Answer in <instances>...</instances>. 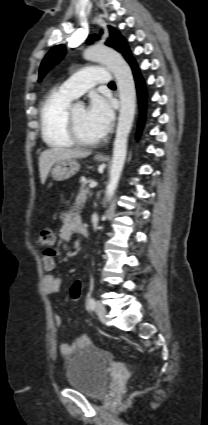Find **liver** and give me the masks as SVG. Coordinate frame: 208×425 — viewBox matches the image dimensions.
Segmentation results:
<instances>
[{
    "label": "liver",
    "mask_w": 208,
    "mask_h": 425,
    "mask_svg": "<svg viewBox=\"0 0 208 425\" xmlns=\"http://www.w3.org/2000/svg\"><path fill=\"white\" fill-rule=\"evenodd\" d=\"M91 154V151H83L79 149H70L62 147H54L47 149L40 154L39 171L41 183L44 184L50 169L58 161L85 158Z\"/></svg>",
    "instance_id": "liver-1"
}]
</instances>
